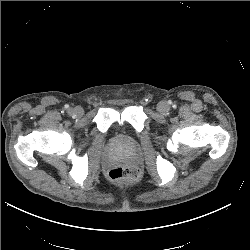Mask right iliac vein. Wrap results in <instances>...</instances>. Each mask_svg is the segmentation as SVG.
I'll list each match as a JSON object with an SVG mask.
<instances>
[{
	"label": "right iliac vein",
	"instance_id": "obj_1",
	"mask_svg": "<svg viewBox=\"0 0 250 250\" xmlns=\"http://www.w3.org/2000/svg\"><path fill=\"white\" fill-rule=\"evenodd\" d=\"M68 113H69V115H71V116H78V117H80V116H82L83 115V113H84V111H83V109L81 108V107H76V108H71V109H69L68 110Z\"/></svg>",
	"mask_w": 250,
	"mask_h": 250
}]
</instances>
